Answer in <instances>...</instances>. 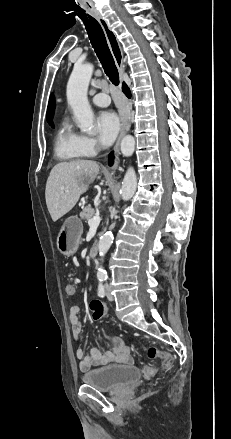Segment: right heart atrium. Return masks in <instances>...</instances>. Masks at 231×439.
Instances as JSON below:
<instances>
[{
  "label": "right heart atrium",
  "instance_id": "obj_1",
  "mask_svg": "<svg viewBox=\"0 0 231 439\" xmlns=\"http://www.w3.org/2000/svg\"><path fill=\"white\" fill-rule=\"evenodd\" d=\"M80 147L84 155L92 156L98 150V143L92 137L80 135Z\"/></svg>",
  "mask_w": 231,
  "mask_h": 439
}]
</instances>
